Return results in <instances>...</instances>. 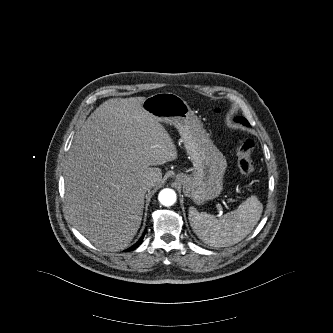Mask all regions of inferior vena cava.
I'll use <instances>...</instances> for the list:
<instances>
[{"label": "inferior vena cava", "mask_w": 333, "mask_h": 333, "mask_svg": "<svg viewBox=\"0 0 333 333\" xmlns=\"http://www.w3.org/2000/svg\"><path fill=\"white\" fill-rule=\"evenodd\" d=\"M156 181H157V179L155 177L150 176L144 181V185L147 188H150L155 185Z\"/></svg>", "instance_id": "obj_1"}]
</instances>
